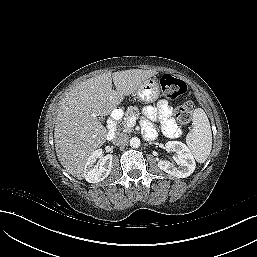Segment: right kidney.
Wrapping results in <instances>:
<instances>
[{"mask_svg":"<svg viewBox=\"0 0 257 257\" xmlns=\"http://www.w3.org/2000/svg\"><path fill=\"white\" fill-rule=\"evenodd\" d=\"M112 160L113 156L110 154L103 156L102 149L93 151L84 166L83 176L86 181L98 183L108 177L112 169Z\"/></svg>","mask_w":257,"mask_h":257,"instance_id":"right-kidney-1","label":"right kidney"}]
</instances>
